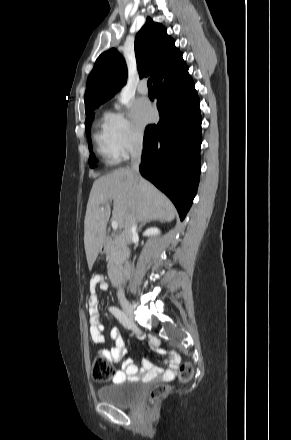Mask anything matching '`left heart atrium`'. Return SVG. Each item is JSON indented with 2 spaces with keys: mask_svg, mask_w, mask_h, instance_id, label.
Returning a JSON list of instances; mask_svg holds the SVG:
<instances>
[{
  "mask_svg": "<svg viewBox=\"0 0 291 440\" xmlns=\"http://www.w3.org/2000/svg\"><path fill=\"white\" fill-rule=\"evenodd\" d=\"M154 117V112L145 101H137L132 107V118L138 127H143Z\"/></svg>",
  "mask_w": 291,
  "mask_h": 440,
  "instance_id": "39dd6f15",
  "label": "left heart atrium"
}]
</instances>
